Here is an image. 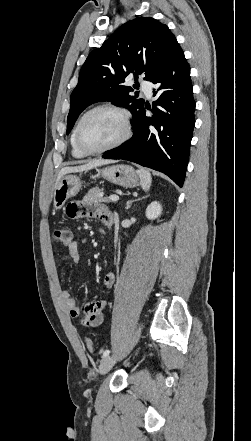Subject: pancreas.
<instances>
[{
    "mask_svg": "<svg viewBox=\"0 0 251 441\" xmlns=\"http://www.w3.org/2000/svg\"><path fill=\"white\" fill-rule=\"evenodd\" d=\"M102 191L103 189L99 187L92 188L85 195L84 199L95 203H108L109 198L100 195Z\"/></svg>",
    "mask_w": 251,
    "mask_h": 441,
    "instance_id": "1",
    "label": "pancreas"
}]
</instances>
